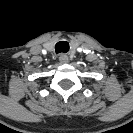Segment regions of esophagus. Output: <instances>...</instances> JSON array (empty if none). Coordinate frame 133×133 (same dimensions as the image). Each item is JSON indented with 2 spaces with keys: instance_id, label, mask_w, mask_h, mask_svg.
I'll list each match as a JSON object with an SVG mask.
<instances>
[{
  "instance_id": "1",
  "label": "esophagus",
  "mask_w": 133,
  "mask_h": 133,
  "mask_svg": "<svg viewBox=\"0 0 133 133\" xmlns=\"http://www.w3.org/2000/svg\"><path fill=\"white\" fill-rule=\"evenodd\" d=\"M59 62L64 64L68 62V56L66 54H60L59 55Z\"/></svg>"
}]
</instances>
